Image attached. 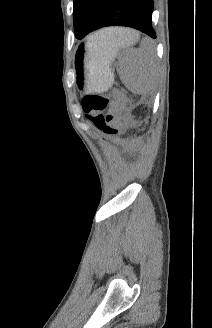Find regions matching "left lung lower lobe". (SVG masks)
Masks as SVG:
<instances>
[{
  "mask_svg": "<svg viewBox=\"0 0 212 328\" xmlns=\"http://www.w3.org/2000/svg\"><path fill=\"white\" fill-rule=\"evenodd\" d=\"M153 7V0H104L89 33L106 26H127L156 38L151 24Z\"/></svg>",
  "mask_w": 212,
  "mask_h": 328,
  "instance_id": "0a47b994",
  "label": "left lung lower lobe"
}]
</instances>
